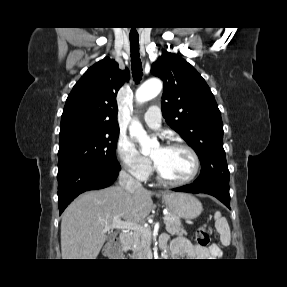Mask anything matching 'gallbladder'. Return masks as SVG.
<instances>
[{
	"label": "gallbladder",
	"instance_id": "bac80fb5",
	"mask_svg": "<svg viewBox=\"0 0 287 287\" xmlns=\"http://www.w3.org/2000/svg\"><path fill=\"white\" fill-rule=\"evenodd\" d=\"M114 237H115V234H113V233H111V234H109V235L107 236L108 239H112V238H114Z\"/></svg>",
	"mask_w": 287,
	"mask_h": 287
}]
</instances>
